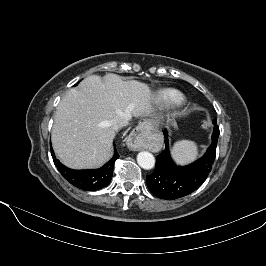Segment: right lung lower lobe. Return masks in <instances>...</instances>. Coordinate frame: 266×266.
<instances>
[{
  "instance_id": "98d812e1",
  "label": "right lung lower lobe",
  "mask_w": 266,
  "mask_h": 266,
  "mask_svg": "<svg viewBox=\"0 0 266 266\" xmlns=\"http://www.w3.org/2000/svg\"><path fill=\"white\" fill-rule=\"evenodd\" d=\"M51 151L54 164L62 176L73 186L86 191H95L106 187L112 179L114 163L119 158L115 149L113 157L101 168L92 170H72L60 163V161L55 158L53 150Z\"/></svg>"
}]
</instances>
